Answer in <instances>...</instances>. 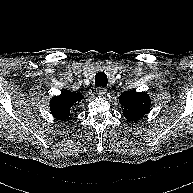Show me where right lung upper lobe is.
<instances>
[{"mask_svg": "<svg viewBox=\"0 0 193 193\" xmlns=\"http://www.w3.org/2000/svg\"><path fill=\"white\" fill-rule=\"evenodd\" d=\"M82 99V93L64 90L50 100V111L54 117L65 121L69 119L72 108Z\"/></svg>", "mask_w": 193, "mask_h": 193, "instance_id": "right-lung-upper-lobe-1", "label": "right lung upper lobe"}]
</instances>
